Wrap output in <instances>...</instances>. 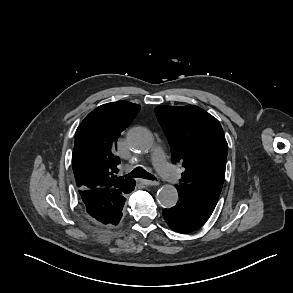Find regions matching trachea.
I'll list each match as a JSON object with an SVG mask.
<instances>
[{"mask_svg":"<svg viewBox=\"0 0 293 293\" xmlns=\"http://www.w3.org/2000/svg\"><path fill=\"white\" fill-rule=\"evenodd\" d=\"M128 178H144L153 180V177L142 167L135 168L132 172H130L128 175H126Z\"/></svg>","mask_w":293,"mask_h":293,"instance_id":"3493384b","label":"trachea"}]
</instances>
